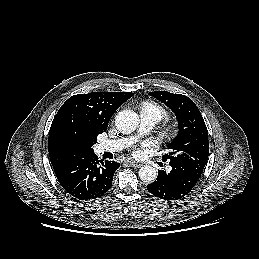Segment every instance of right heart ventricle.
I'll return each mask as SVG.
<instances>
[{
    "mask_svg": "<svg viewBox=\"0 0 259 259\" xmlns=\"http://www.w3.org/2000/svg\"><path fill=\"white\" fill-rule=\"evenodd\" d=\"M141 112L153 114L158 121L168 115L166 108L155 101H144L141 104Z\"/></svg>",
    "mask_w": 259,
    "mask_h": 259,
    "instance_id": "right-heart-ventricle-1",
    "label": "right heart ventricle"
}]
</instances>
